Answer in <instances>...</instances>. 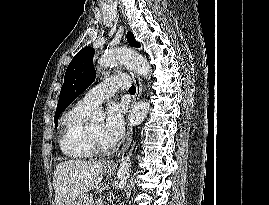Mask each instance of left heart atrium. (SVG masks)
I'll return each mask as SVG.
<instances>
[{"mask_svg": "<svg viewBox=\"0 0 269 205\" xmlns=\"http://www.w3.org/2000/svg\"><path fill=\"white\" fill-rule=\"evenodd\" d=\"M124 106L112 102L107 107L106 119L102 127V136L110 144H115L124 131Z\"/></svg>", "mask_w": 269, "mask_h": 205, "instance_id": "39dd6f15", "label": "left heart atrium"}]
</instances>
